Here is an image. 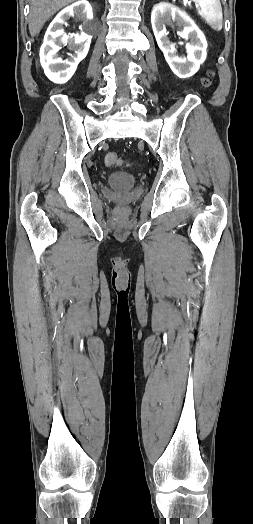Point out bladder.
Masks as SVG:
<instances>
[{"instance_id": "bladder-1", "label": "bladder", "mask_w": 253, "mask_h": 524, "mask_svg": "<svg viewBox=\"0 0 253 524\" xmlns=\"http://www.w3.org/2000/svg\"><path fill=\"white\" fill-rule=\"evenodd\" d=\"M136 178L125 172H114L108 178V185L114 189H129L136 185Z\"/></svg>"}]
</instances>
